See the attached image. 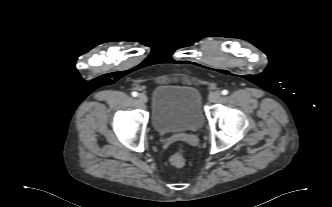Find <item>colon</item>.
Listing matches in <instances>:
<instances>
[{"label":"colon","instance_id":"1","mask_svg":"<svg viewBox=\"0 0 332 207\" xmlns=\"http://www.w3.org/2000/svg\"><path fill=\"white\" fill-rule=\"evenodd\" d=\"M189 152V148L186 145H180L177 152L172 155L170 162L175 167H182L185 163V154Z\"/></svg>","mask_w":332,"mask_h":207}]
</instances>
